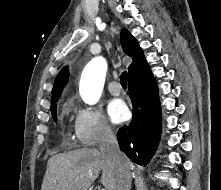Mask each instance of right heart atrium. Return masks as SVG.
Wrapping results in <instances>:
<instances>
[{
	"label": "right heart atrium",
	"instance_id": "1",
	"mask_svg": "<svg viewBox=\"0 0 221 190\" xmlns=\"http://www.w3.org/2000/svg\"><path fill=\"white\" fill-rule=\"evenodd\" d=\"M74 128L83 146H95L113 137V130L99 109L76 107Z\"/></svg>",
	"mask_w": 221,
	"mask_h": 190
}]
</instances>
